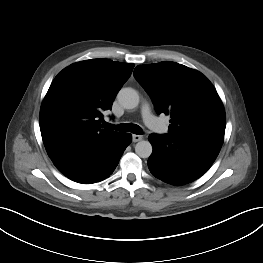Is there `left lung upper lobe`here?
<instances>
[{"label":"left lung upper lobe","instance_id":"1","mask_svg":"<svg viewBox=\"0 0 263 263\" xmlns=\"http://www.w3.org/2000/svg\"><path fill=\"white\" fill-rule=\"evenodd\" d=\"M134 77L150 95L156 111L170 114L169 135H188L223 144L224 107L216 89L202 73L163 61L137 66Z\"/></svg>","mask_w":263,"mask_h":263}]
</instances>
